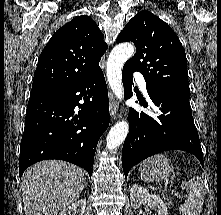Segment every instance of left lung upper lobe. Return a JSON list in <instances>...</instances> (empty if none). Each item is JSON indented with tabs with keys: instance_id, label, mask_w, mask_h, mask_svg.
Here are the masks:
<instances>
[{
	"instance_id": "5c2ea615",
	"label": "left lung upper lobe",
	"mask_w": 221,
	"mask_h": 215,
	"mask_svg": "<svg viewBox=\"0 0 221 215\" xmlns=\"http://www.w3.org/2000/svg\"><path fill=\"white\" fill-rule=\"evenodd\" d=\"M125 41L136 46V53L125 68L139 71L148 88L189 100L185 50L164 21L149 11L139 12L117 38V43Z\"/></svg>"
}]
</instances>
